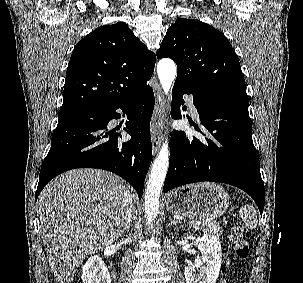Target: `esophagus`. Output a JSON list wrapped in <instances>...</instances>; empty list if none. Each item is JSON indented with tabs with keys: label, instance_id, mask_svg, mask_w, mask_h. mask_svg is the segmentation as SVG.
I'll return each instance as SVG.
<instances>
[{
	"label": "esophagus",
	"instance_id": "1",
	"mask_svg": "<svg viewBox=\"0 0 303 283\" xmlns=\"http://www.w3.org/2000/svg\"><path fill=\"white\" fill-rule=\"evenodd\" d=\"M154 93H155V107L152 117L151 140H152L153 153L156 154L159 150L161 137H162L158 127V123L163 114L164 97L161 88L159 87L158 84L154 86Z\"/></svg>",
	"mask_w": 303,
	"mask_h": 283
}]
</instances>
